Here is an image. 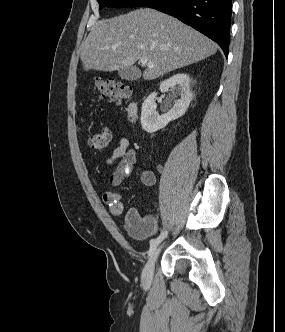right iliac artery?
Here are the masks:
<instances>
[{"label":"right iliac artery","instance_id":"82829eb1","mask_svg":"<svg viewBox=\"0 0 285 332\" xmlns=\"http://www.w3.org/2000/svg\"><path fill=\"white\" fill-rule=\"evenodd\" d=\"M167 234H168V231L165 230L156 239L151 240V242H150V248H149V251H148V256H152V254L156 250V247L158 246V244L162 240H164V238L167 236Z\"/></svg>","mask_w":285,"mask_h":332}]
</instances>
